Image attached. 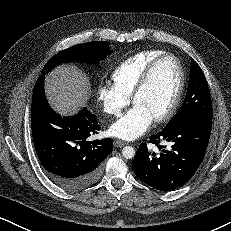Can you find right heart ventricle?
Instances as JSON below:
<instances>
[{
    "instance_id": "e07e8e85",
    "label": "right heart ventricle",
    "mask_w": 231,
    "mask_h": 231,
    "mask_svg": "<svg viewBox=\"0 0 231 231\" xmlns=\"http://www.w3.org/2000/svg\"><path fill=\"white\" fill-rule=\"evenodd\" d=\"M162 50L139 52L123 61L112 73L114 85L126 96L131 97L144 69Z\"/></svg>"
}]
</instances>
